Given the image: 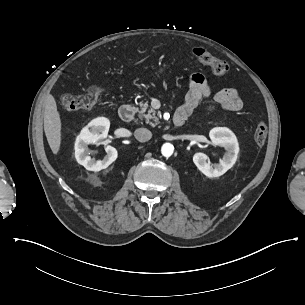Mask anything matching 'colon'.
I'll return each instance as SVG.
<instances>
[{
  "label": "colon",
  "instance_id": "5ec220e1",
  "mask_svg": "<svg viewBox=\"0 0 305 305\" xmlns=\"http://www.w3.org/2000/svg\"><path fill=\"white\" fill-rule=\"evenodd\" d=\"M194 55L200 63L209 66L215 74L224 75L228 72L229 67L227 63L213 57L206 48H194ZM103 91L104 88L101 85H92L88 87L85 93L80 97L66 94L62 97L63 107L67 110L90 109L98 101ZM267 132L268 128L266 121L261 118L258 121L254 132V141L257 146L264 145Z\"/></svg>",
  "mask_w": 305,
  "mask_h": 305
}]
</instances>
